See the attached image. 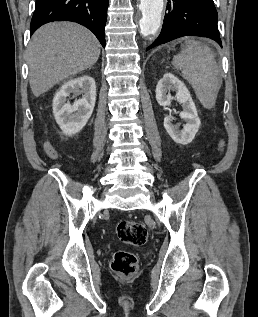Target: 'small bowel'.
I'll use <instances>...</instances> for the list:
<instances>
[{"label":"small bowel","instance_id":"1","mask_svg":"<svg viewBox=\"0 0 258 317\" xmlns=\"http://www.w3.org/2000/svg\"><path fill=\"white\" fill-rule=\"evenodd\" d=\"M43 150L49 157L51 158L56 157V151L49 142H44Z\"/></svg>","mask_w":258,"mask_h":317}]
</instances>
